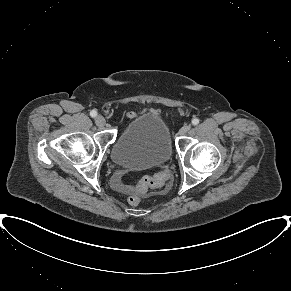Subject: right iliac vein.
I'll list each match as a JSON object with an SVG mask.
<instances>
[{"mask_svg":"<svg viewBox=\"0 0 291 291\" xmlns=\"http://www.w3.org/2000/svg\"><path fill=\"white\" fill-rule=\"evenodd\" d=\"M95 123L99 126L102 127L106 124V120L103 116L99 115L95 118Z\"/></svg>","mask_w":291,"mask_h":291,"instance_id":"63e3f726","label":"right iliac vein"}]
</instances>
